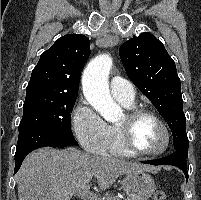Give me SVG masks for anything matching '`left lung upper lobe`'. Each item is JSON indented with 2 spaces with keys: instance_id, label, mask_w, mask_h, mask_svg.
I'll use <instances>...</instances> for the list:
<instances>
[{
  "instance_id": "1",
  "label": "left lung upper lobe",
  "mask_w": 201,
  "mask_h": 200,
  "mask_svg": "<svg viewBox=\"0 0 201 200\" xmlns=\"http://www.w3.org/2000/svg\"><path fill=\"white\" fill-rule=\"evenodd\" d=\"M119 55L127 76L168 123L174 149L188 150L180 79L164 45L145 32L121 45Z\"/></svg>"
}]
</instances>
